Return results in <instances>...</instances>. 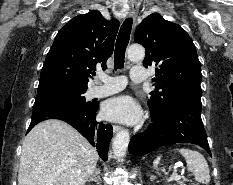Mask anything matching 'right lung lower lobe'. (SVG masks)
Here are the masks:
<instances>
[{
  "label": "right lung lower lobe",
  "mask_w": 233,
  "mask_h": 185,
  "mask_svg": "<svg viewBox=\"0 0 233 185\" xmlns=\"http://www.w3.org/2000/svg\"><path fill=\"white\" fill-rule=\"evenodd\" d=\"M97 110L98 104L96 103L85 105L58 99L36 100L33 105L32 121L27 132L34 125L47 119L64 120L95 146L99 156L106 161L113 128L109 124L104 125L96 121Z\"/></svg>",
  "instance_id": "obj_1"
}]
</instances>
